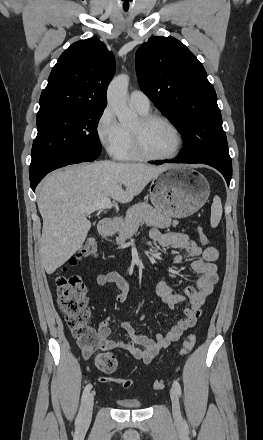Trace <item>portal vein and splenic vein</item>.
Listing matches in <instances>:
<instances>
[{
    "label": "portal vein and splenic vein",
    "instance_id": "18ae733b",
    "mask_svg": "<svg viewBox=\"0 0 263 440\" xmlns=\"http://www.w3.org/2000/svg\"><path fill=\"white\" fill-rule=\"evenodd\" d=\"M114 206V204L111 202V199L109 197L104 198L103 200L96 202L92 205L84 207V211L87 214L93 213L97 210L101 209H111Z\"/></svg>",
    "mask_w": 263,
    "mask_h": 440
}]
</instances>
